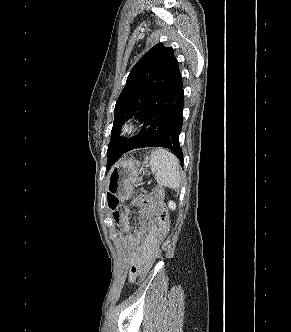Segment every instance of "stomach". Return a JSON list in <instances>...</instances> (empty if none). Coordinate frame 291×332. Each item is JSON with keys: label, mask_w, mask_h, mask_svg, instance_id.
<instances>
[{"label": "stomach", "mask_w": 291, "mask_h": 332, "mask_svg": "<svg viewBox=\"0 0 291 332\" xmlns=\"http://www.w3.org/2000/svg\"><path fill=\"white\" fill-rule=\"evenodd\" d=\"M141 169L137 160L128 159L120 162L109 173L107 189L120 200L129 198Z\"/></svg>", "instance_id": "0dacf381"}]
</instances>
